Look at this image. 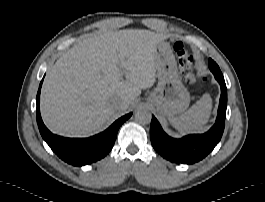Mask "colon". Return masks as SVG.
<instances>
[{
  "instance_id": "obj_1",
  "label": "colon",
  "mask_w": 265,
  "mask_h": 202,
  "mask_svg": "<svg viewBox=\"0 0 265 202\" xmlns=\"http://www.w3.org/2000/svg\"><path fill=\"white\" fill-rule=\"evenodd\" d=\"M174 49L178 55L179 68L185 79L190 83H196L197 79L193 72V56L185 46L178 42L175 44Z\"/></svg>"
}]
</instances>
